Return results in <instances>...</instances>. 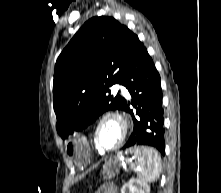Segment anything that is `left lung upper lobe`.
I'll return each instance as SVG.
<instances>
[{
    "label": "left lung upper lobe",
    "instance_id": "obj_1",
    "mask_svg": "<svg viewBox=\"0 0 221 193\" xmlns=\"http://www.w3.org/2000/svg\"><path fill=\"white\" fill-rule=\"evenodd\" d=\"M140 43L125 25L106 16L89 19L74 35L54 72L56 128L62 138L86 128L107 110H124L125 98L111 94L109 87L122 83Z\"/></svg>",
    "mask_w": 221,
    "mask_h": 193
}]
</instances>
